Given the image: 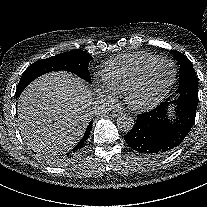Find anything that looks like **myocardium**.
Listing matches in <instances>:
<instances>
[{"instance_id":"1","label":"myocardium","mask_w":207,"mask_h":207,"mask_svg":"<svg viewBox=\"0 0 207 207\" xmlns=\"http://www.w3.org/2000/svg\"><path fill=\"white\" fill-rule=\"evenodd\" d=\"M161 62H169L174 67V73H173L171 82H170L167 90L165 91L163 98L168 97L172 93L173 88H174V86L176 84V81H177V75H178L177 65H176L175 61L172 60L171 58H168V57L157 58L156 60L150 62L141 71V73L139 74L138 78L132 83V85L126 91V93L124 95V99H125L126 104L128 105V107L131 110L139 112V111H141L146 106V105H140V104L136 103L134 101V96L137 94L138 91L143 89V87L145 85V82H146V79H147V75L151 71V69H153L157 64H159Z\"/></svg>"}]
</instances>
